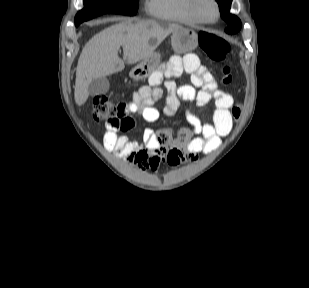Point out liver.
<instances>
[{
    "instance_id": "6515ba94",
    "label": "liver",
    "mask_w": 309,
    "mask_h": 288,
    "mask_svg": "<svg viewBox=\"0 0 309 288\" xmlns=\"http://www.w3.org/2000/svg\"><path fill=\"white\" fill-rule=\"evenodd\" d=\"M181 26L160 24L154 20L126 19L95 36L84 46L77 65L75 102L83 105L89 96L88 87L93 79L120 72L125 62L135 64L154 53L160 43ZM123 47V59L118 50Z\"/></svg>"
}]
</instances>
